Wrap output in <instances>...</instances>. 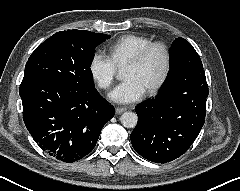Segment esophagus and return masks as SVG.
<instances>
[{"mask_svg":"<svg viewBox=\"0 0 240 191\" xmlns=\"http://www.w3.org/2000/svg\"><path fill=\"white\" fill-rule=\"evenodd\" d=\"M125 111H126V108H124V107H116L115 108V113L116 114H121V113H123Z\"/></svg>","mask_w":240,"mask_h":191,"instance_id":"34e87169","label":"esophagus"}]
</instances>
